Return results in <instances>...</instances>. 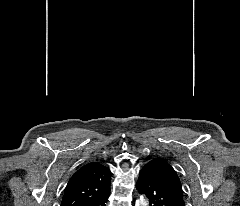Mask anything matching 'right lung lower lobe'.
<instances>
[{"label": "right lung lower lobe", "mask_w": 240, "mask_h": 206, "mask_svg": "<svg viewBox=\"0 0 240 206\" xmlns=\"http://www.w3.org/2000/svg\"><path fill=\"white\" fill-rule=\"evenodd\" d=\"M110 191L107 192L106 194L94 199L93 201H90L86 204H84V206H106V202L108 200Z\"/></svg>", "instance_id": "98d812e1"}]
</instances>
